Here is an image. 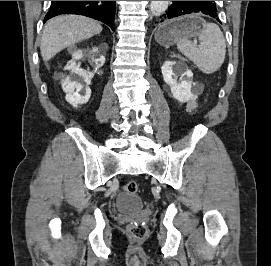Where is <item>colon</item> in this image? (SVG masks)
I'll list each match as a JSON object with an SVG mask.
<instances>
[{"mask_svg":"<svg viewBox=\"0 0 271 266\" xmlns=\"http://www.w3.org/2000/svg\"><path fill=\"white\" fill-rule=\"evenodd\" d=\"M124 191L128 194L135 195L139 192L138 184L135 181H129L124 185ZM130 234L137 240L145 239L148 235V228L143 221H137L130 225Z\"/></svg>","mask_w":271,"mask_h":266,"instance_id":"5ec220e1","label":"colon"}]
</instances>
